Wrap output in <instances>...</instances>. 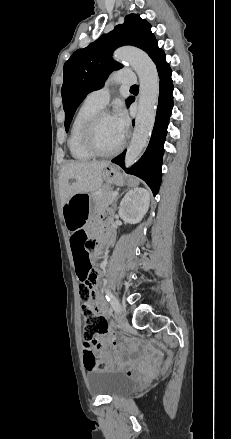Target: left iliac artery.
Here are the masks:
<instances>
[{
	"instance_id": "44dca946",
	"label": "left iliac artery",
	"mask_w": 231,
	"mask_h": 439,
	"mask_svg": "<svg viewBox=\"0 0 231 439\" xmlns=\"http://www.w3.org/2000/svg\"><path fill=\"white\" fill-rule=\"evenodd\" d=\"M105 297L107 299L108 302H110L111 306L116 309L119 306V302L117 301V299L113 296V294L108 290L105 289Z\"/></svg>"
}]
</instances>
